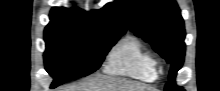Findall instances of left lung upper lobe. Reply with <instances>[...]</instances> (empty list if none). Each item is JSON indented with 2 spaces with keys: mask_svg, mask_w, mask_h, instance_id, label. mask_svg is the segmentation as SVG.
Segmentation results:
<instances>
[{
  "mask_svg": "<svg viewBox=\"0 0 220 91\" xmlns=\"http://www.w3.org/2000/svg\"><path fill=\"white\" fill-rule=\"evenodd\" d=\"M128 28L150 42L168 63H171L166 91H184L175 85L177 71L185 56V29L175 0H120Z\"/></svg>",
  "mask_w": 220,
  "mask_h": 91,
  "instance_id": "1",
  "label": "left lung upper lobe"
}]
</instances>
